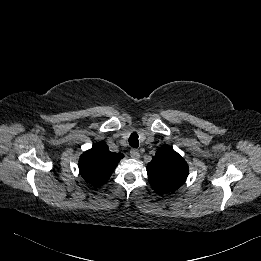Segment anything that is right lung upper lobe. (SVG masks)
I'll return each mask as SVG.
<instances>
[{
	"instance_id": "obj_1",
	"label": "right lung upper lobe",
	"mask_w": 261,
	"mask_h": 261,
	"mask_svg": "<svg viewBox=\"0 0 261 261\" xmlns=\"http://www.w3.org/2000/svg\"><path fill=\"white\" fill-rule=\"evenodd\" d=\"M123 157L124 155L121 153L110 152L105 143H96L81 155L80 174L92 186L100 187L108 181Z\"/></svg>"
}]
</instances>
